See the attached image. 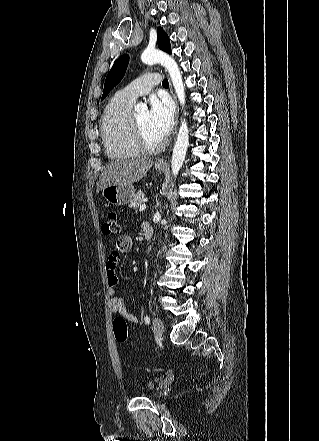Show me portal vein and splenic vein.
Returning <instances> with one entry per match:
<instances>
[{
	"mask_svg": "<svg viewBox=\"0 0 319 441\" xmlns=\"http://www.w3.org/2000/svg\"><path fill=\"white\" fill-rule=\"evenodd\" d=\"M146 207H147L146 204H142V205L140 206L139 210H140V211H143V210L146 209Z\"/></svg>",
	"mask_w": 319,
	"mask_h": 441,
	"instance_id": "1",
	"label": "portal vein and splenic vein"
}]
</instances>
